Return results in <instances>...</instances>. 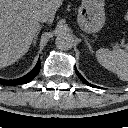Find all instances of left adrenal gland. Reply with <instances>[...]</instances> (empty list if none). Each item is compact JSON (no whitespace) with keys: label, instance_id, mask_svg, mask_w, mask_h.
Wrapping results in <instances>:
<instances>
[{"label":"left adrenal gland","instance_id":"1","mask_svg":"<svg viewBox=\"0 0 128 128\" xmlns=\"http://www.w3.org/2000/svg\"><path fill=\"white\" fill-rule=\"evenodd\" d=\"M83 37H84V42L86 43V45H87V47L89 48V50H90L91 52H93L92 47H91L90 43L88 42L87 38H86L85 36H83Z\"/></svg>","mask_w":128,"mask_h":128}]
</instances>
